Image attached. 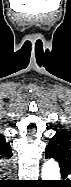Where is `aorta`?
Returning a JSON list of instances; mask_svg holds the SVG:
<instances>
[{
  "label": "aorta",
  "mask_w": 71,
  "mask_h": 187,
  "mask_svg": "<svg viewBox=\"0 0 71 187\" xmlns=\"http://www.w3.org/2000/svg\"><path fill=\"white\" fill-rule=\"evenodd\" d=\"M43 180H60V169L58 163L50 159L43 164L42 167Z\"/></svg>",
  "instance_id": "obj_1"
}]
</instances>
